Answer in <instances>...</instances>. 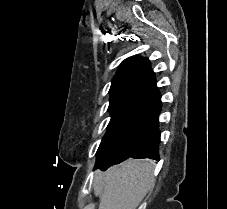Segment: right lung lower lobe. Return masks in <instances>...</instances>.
<instances>
[{
    "label": "right lung lower lobe",
    "instance_id": "obj_1",
    "mask_svg": "<svg viewBox=\"0 0 227 209\" xmlns=\"http://www.w3.org/2000/svg\"><path fill=\"white\" fill-rule=\"evenodd\" d=\"M160 110L161 103L154 108L153 115L146 127L109 157L107 168L128 158H150L159 161L160 131L158 129V115Z\"/></svg>",
    "mask_w": 227,
    "mask_h": 209
}]
</instances>
